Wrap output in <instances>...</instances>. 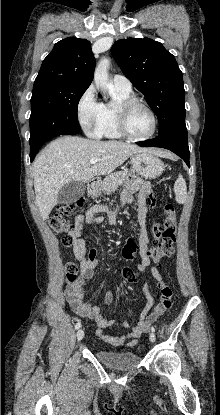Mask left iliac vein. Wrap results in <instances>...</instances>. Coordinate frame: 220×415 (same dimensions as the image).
Returning a JSON list of instances; mask_svg holds the SVG:
<instances>
[{"instance_id": "left-iliac-vein-1", "label": "left iliac vein", "mask_w": 220, "mask_h": 415, "mask_svg": "<svg viewBox=\"0 0 220 415\" xmlns=\"http://www.w3.org/2000/svg\"><path fill=\"white\" fill-rule=\"evenodd\" d=\"M149 338H150V341H151V342H155V340H156L155 334H154L153 332H152V333H150Z\"/></svg>"}]
</instances>
